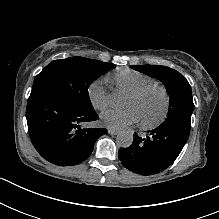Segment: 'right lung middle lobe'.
<instances>
[{"instance_id":"right-lung-middle-lobe-1","label":"right lung middle lobe","mask_w":219,"mask_h":219,"mask_svg":"<svg viewBox=\"0 0 219 219\" xmlns=\"http://www.w3.org/2000/svg\"><path fill=\"white\" fill-rule=\"evenodd\" d=\"M112 68L110 63L84 57L55 60L35 77L31 94H50L65 99L77 108L92 109L88 88Z\"/></svg>"}]
</instances>
